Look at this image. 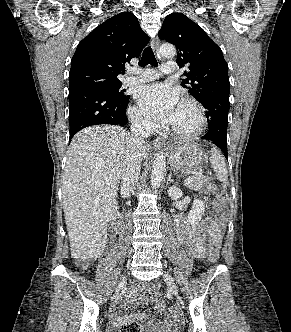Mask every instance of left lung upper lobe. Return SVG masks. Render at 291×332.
I'll use <instances>...</instances> for the list:
<instances>
[{"instance_id":"left-lung-upper-lobe-1","label":"left lung upper lobe","mask_w":291,"mask_h":332,"mask_svg":"<svg viewBox=\"0 0 291 332\" xmlns=\"http://www.w3.org/2000/svg\"><path fill=\"white\" fill-rule=\"evenodd\" d=\"M159 37L178 49L177 63L188 66L181 86L201 104L212 97L229 98L228 64L221 48L205 31L182 13L169 14L158 33Z\"/></svg>"}]
</instances>
